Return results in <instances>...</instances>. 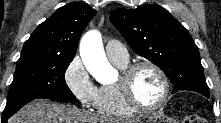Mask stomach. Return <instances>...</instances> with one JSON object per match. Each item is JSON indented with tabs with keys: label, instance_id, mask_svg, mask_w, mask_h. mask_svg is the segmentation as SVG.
<instances>
[{
	"label": "stomach",
	"instance_id": "stomach-1",
	"mask_svg": "<svg viewBox=\"0 0 221 123\" xmlns=\"http://www.w3.org/2000/svg\"><path fill=\"white\" fill-rule=\"evenodd\" d=\"M138 123H176L174 120L168 118L161 112H156L152 115H149L144 120H139Z\"/></svg>",
	"mask_w": 221,
	"mask_h": 123
}]
</instances>
